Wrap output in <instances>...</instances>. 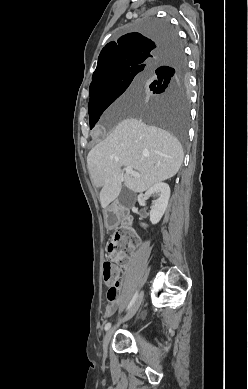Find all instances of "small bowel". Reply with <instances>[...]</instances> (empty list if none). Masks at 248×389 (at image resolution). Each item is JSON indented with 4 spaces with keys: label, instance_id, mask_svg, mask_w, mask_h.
<instances>
[{
    "label": "small bowel",
    "instance_id": "1",
    "mask_svg": "<svg viewBox=\"0 0 248 389\" xmlns=\"http://www.w3.org/2000/svg\"><path fill=\"white\" fill-rule=\"evenodd\" d=\"M116 308H117L116 300L115 301H108V304H107L106 309H105L106 317H110L116 311Z\"/></svg>",
    "mask_w": 248,
    "mask_h": 389
}]
</instances>
